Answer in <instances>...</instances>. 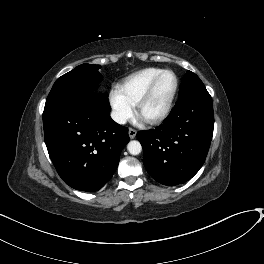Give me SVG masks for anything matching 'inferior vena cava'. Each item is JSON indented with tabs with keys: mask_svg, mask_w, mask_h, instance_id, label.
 I'll use <instances>...</instances> for the list:
<instances>
[{
	"mask_svg": "<svg viewBox=\"0 0 264 264\" xmlns=\"http://www.w3.org/2000/svg\"><path fill=\"white\" fill-rule=\"evenodd\" d=\"M111 118L119 124H125L127 121L126 117L117 111L111 113Z\"/></svg>",
	"mask_w": 264,
	"mask_h": 264,
	"instance_id": "602c4592",
	"label": "inferior vena cava"
}]
</instances>
